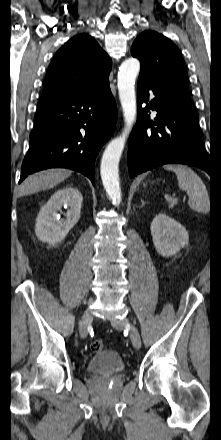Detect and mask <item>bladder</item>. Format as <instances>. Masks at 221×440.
<instances>
[{"instance_id":"obj_1","label":"bladder","mask_w":221,"mask_h":440,"mask_svg":"<svg viewBox=\"0 0 221 440\" xmlns=\"http://www.w3.org/2000/svg\"><path fill=\"white\" fill-rule=\"evenodd\" d=\"M122 357L114 350H103L96 353L87 363L90 373L109 376L124 369Z\"/></svg>"}]
</instances>
